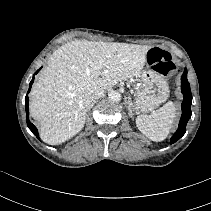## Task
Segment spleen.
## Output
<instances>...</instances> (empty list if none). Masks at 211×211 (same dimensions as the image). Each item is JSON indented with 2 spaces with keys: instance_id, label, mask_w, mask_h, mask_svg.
Instances as JSON below:
<instances>
[{
  "instance_id": "3e777b00",
  "label": "spleen",
  "mask_w": 211,
  "mask_h": 211,
  "mask_svg": "<svg viewBox=\"0 0 211 211\" xmlns=\"http://www.w3.org/2000/svg\"><path fill=\"white\" fill-rule=\"evenodd\" d=\"M175 116V105L169 101L151 115L138 116L136 125L150 140L163 141L172 129Z\"/></svg>"
}]
</instances>
